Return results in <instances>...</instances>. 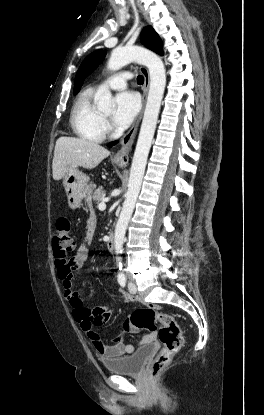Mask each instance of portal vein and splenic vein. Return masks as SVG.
Masks as SVG:
<instances>
[{
  "label": "portal vein and splenic vein",
  "mask_w": 264,
  "mask_h": 415,
  "mask_svg": "<svg viewBox=\"0 0 264 415\" xmlns=\"http://www.w3.org/2000/svg\"><path fill=\"white\" fill-rule=\"evenodd\" d=\"M98 209H99V210H101V211L105 210V209H106V204H105L104 202H101V203L98 205Z\"/></svg>",
  "instance_id": "obj_1"
}]
</instances>
